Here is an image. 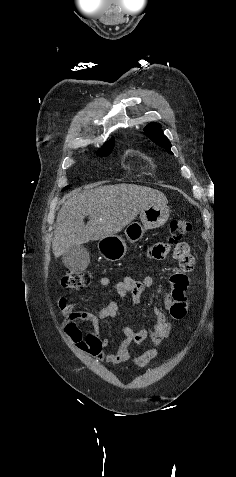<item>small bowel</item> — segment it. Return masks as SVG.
<instances>
[{
	"label": "small bowel",
	"instance_id": "obj_1",
	"mask_svg": "<svg viewBox=\"0 0 236 477\" xmlns=\"http://www.w3.org/2000/svg\"><path fill=\"white\" fill-rule=\"evenodd\" d=\"M180 246L189 248L187 243H180ZM170 247L165 243H157L151 250L154 259H163L168 254ZM177 258V257H176ZM180 262V270L171 278V291H166L161 287H156V281L152 276H146L142 281L135 280L130 276L112 283L108 277L100 279V285L108 293L109 299L106 304L97 312L78 311L74 304L70 303L66 297L58 301L59 309L64 317L62 328L68 338L81 350L94 357L98 361H105L112 365H122L132 362L137 366H144L158 355V346L167 338L173 328L167 316L158 308L154 309L155 323L149 328L134 330L131 327L123 326V339L115 350H109V340L100 336V320L115 318L119 312V304L111 299V295L116 293L121 298H130L134 305H138L146 289L157 288V292L162 295L163 303L169 310L174 320H183L188 312L189 300L187 295L188 278L186 273L194 266V258L190 250L186 255L177 258ZM89 324L88 330H83L80 324ZM150 339L152 346L137 357H132L133 346Z\"/></svg>",
	"mask_w": 236,
	"mask_h": 477
}]
</instances>
